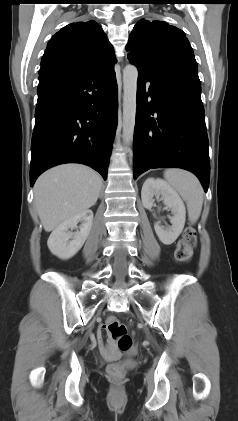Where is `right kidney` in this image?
<instances>
[{
	"label": "right kidney",
	"instance_id": "right-kidney-1",
	"mask_svg": "<svg viewBox=\"0 0 238 421\" xmlns=\"http://www.w3.org/2000/svg\"><path fill=\"white\" fill-rule=\"evenodd\" d=\"M81 223L80 231L75 233L69 229L77 228ZM93 223V212L86 210L59 224L48 238L47 245L51 253L60 259L67 260L73 257L86 241Z\"/></svg>",
	"mask_w": 238,
	"mask_h": 421
}]
</instances>
